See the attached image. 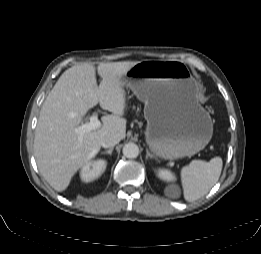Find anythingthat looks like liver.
I'll list each match as a JSON object with an SVG mask.
<instances>
[{"label":"liver","instance_id":"6515ba94","mask_svg":"<svg viewBox=\"0 0 261 254\" xmlns=\"http://www.w3.org/2000/svg\"><path fill=\"white\" fill-rule=\"evenodd\" d=\"M138 61L81 63L67 69L46 97L35 131L34 155L38 169L56 191H64L73 175L94 158L107 135L126 136L125 91L121 78ZM96 69L102 81L98 87ZM112 112L102 126L80 138L74 129L97 104Z\"/></svg>","mask_w":261,"mask_h":254}]
</instances>
